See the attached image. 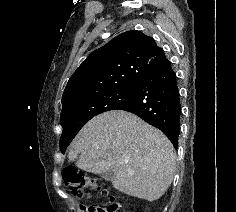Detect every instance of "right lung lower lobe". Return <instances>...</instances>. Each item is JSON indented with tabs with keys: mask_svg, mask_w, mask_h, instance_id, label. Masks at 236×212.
I'll list each match as a JSON object with an SVG mask.
<instances>
[{
	"mask_svg": "<svg viewBox=\"0 0 236 212\" xmlns=\"http://www.w3.org/2000/svg\"><path fill=\"white\" fill-rule=\"evenodd\" d=\"M117 110L131 112L160 129L177 148L181 104L177 77L171 62L164 57L140 80L130 99Z\"/></svg>",
	"mask_w": 236,
	"mask_h": 212,
	"instance_id": "1",
	"label": "right lung lower lobe"
}]
</instances>
